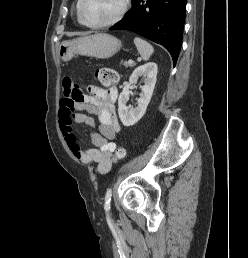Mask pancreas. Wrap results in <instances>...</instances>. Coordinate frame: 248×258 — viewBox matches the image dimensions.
I'll return each mask as SVG.
<instances>
[{"label":"pancreas","mask_w":248,"mask_h":258,"mask_svg":"<svg viewBox=\"0 0 248 258\" xmlns=\"http://www.w3.org/2000/svg\"><path fill=\"white\" fill-rule=\"evenodd\" d=\"M121 63H123L125 67H133L135 65L134 63H130L129 61H122Z\"/></svg>","instance_id":"cf45deb5"}]
</instances>
